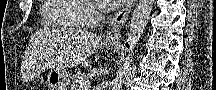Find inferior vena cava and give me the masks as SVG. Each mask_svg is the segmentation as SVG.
Masks as SVG:
<instances>
[{
	"label": "inferior vena cava",
	"mask_w": 216,
	"mask_h": 90,
	"mask_svg": "<svg viewBox=\"0 0 216 90\" xmlns=\"http://www.w3.org/2000/svg\"><path fill=\"white\" fill-rule=\"evenodd\" d=\"M101 18H104L103 14H101Z\"/></svg>",
	"instance_id": "inferior-vena-cava-1"
}]
</instances>
